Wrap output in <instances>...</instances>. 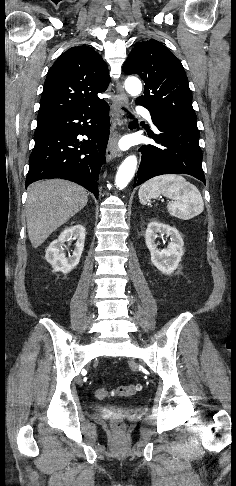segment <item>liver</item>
Segmentation results:
<instances>
[{
  "label": "liver",
  "instance_id": "obj_1",
  "mask_svg": "<svg viewBox=\"0 0 236 486\" xmlns=\"http://www.w3.org/2000/svg\"><path fill=\"white\" fill-rule=\"evenodd\" d=\"M27 191V230L34 248L88 202V193L83 187L62 179L35 182Z\"/></svg>",
  "mask_w": 236,
  "mask_h": 486
}]
</instances>
